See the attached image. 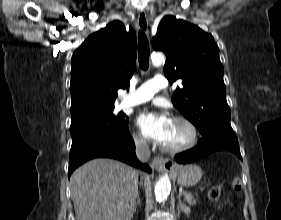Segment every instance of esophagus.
Listing matches in <instances>:
<instances>
[{
  "label": "esophagus",
  "mask_w": 281,
  "mask_h": 220,
  "mask_svg": "<svg viewBox=\"0 0 281 220\" xmlns=\"http://www.w3.org/2000/svg\"><path fill=\"white\" fill-rule=\"evenodd\" d=\"M137 26L148 34V20L145 12H140L137 18ZM152 166L159 172H168L174 168V162L168 158L155 157Z\"/></svg>",
  "instance_id": "obj_1"
}]
</instances>
